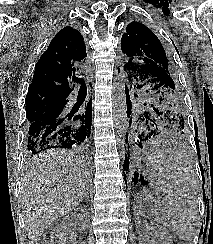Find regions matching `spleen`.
I'll use <instances>...</instances> for the list:
<instances>
[{"label": "spleen", "instance_id": "3e777b00", "mask_svg": "<svg viewBox=\"0 0 213 244\" xmlns=\"http://www.w3.org/2000/svg\"><path fill=\"white\" fill-rule=\"evenodd\" d=\"M147 166L159 177L171 230L178 238L189 241L195 232L200 193L193 170L178 154L167 150L150 155Z\"/></svg>", "mask_w": 213, "mask_h": 244}]
</instances>
